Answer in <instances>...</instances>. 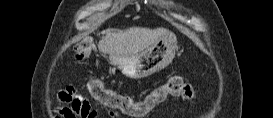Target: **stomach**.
<instances>
[{
    "label": "stomach",
    "instance_id": "1",
    "mask_svg": "<svg viewBox=\"0 0 273 118\" xmlns=\"http://www.w3.org/2000/svg\"><path fill=\"white\" fill-rule=\"evenodd\" d=\"M177 48V38L167 33L145 50L134 55H112L110 60L126 77L140 79L168 66Z\"/></svg>",
    "mask_w": 273,
    "mask_h": 118
}]
</instances>
